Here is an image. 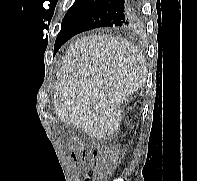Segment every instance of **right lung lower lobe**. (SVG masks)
I'll list each match as a JSON object with an SVG mask.
<instances>
[{"mask_svg":"<svg viewBox=\"0 0 197 181\" xmlns=\"http://www.w3.org/2000/svg\"><path fill=\"white\" fill-rule=\"evenodd\" d=\"M136 0H98L75 21L63 44L73 36L99 27H128L138 24Z\"/></svg>","mask_w":197,"mask_h":181,"instance_id":"right-lung-lower-lobe-1","label":"right lung lower lobe"}]
</instances>
